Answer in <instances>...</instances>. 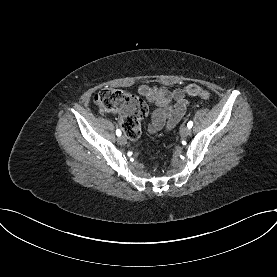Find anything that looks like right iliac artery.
Listing matches in <instances>:
<instances>
[{
	"label": "right iliac artery",
	"mask_w": 277,
	"mask_h": 277,
	"mask_svg": "<svg viewBox=\"0 0 277 277\" xmlns=\"http://www.w3.org/2000/svg\"><path fill=\"white\" fill-rule=\"evenodd\" d=\"M116 135L120 136L121 135V131L119 129L116 130Z\"/></svg>",
	"instance_id": "82829eb1"
}]
</instances>
